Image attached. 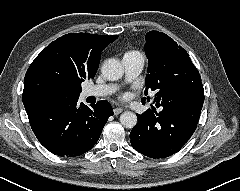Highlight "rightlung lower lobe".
Listing matches in <instances>:
<instances>
[{
	"label": "right lung lower lobe",
	"mask_w": 240,
	"mask_h": 191,
	"mask_svg": "<svg viewBox=\"0 0 240 191\" xmlns=\"http://www.w3.org/2000/svg\"><path fill=\"white\" fill-rule=\"evenodd\" d=\"M24 106L39 142L61 157H75L89 151L113 115L107 101H99L90 109L78 104V97L33 100Z\"/></svg>",
	"instance_id": "98d812e1"
}]
</instances>
